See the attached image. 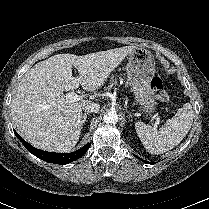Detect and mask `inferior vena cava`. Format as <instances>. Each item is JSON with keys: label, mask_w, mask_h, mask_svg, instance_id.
<instances>
[{"label": "inferior vena cava", "mask_w": 209, "mask_h": 209, "mask_svg": "<svg viewBox=\"0 0 209 209\" xmlns=\"http://www.w3.org/2000/svg\"><path fill=\"white\" fill-rule=\"evenodd\" d=\"M83 111H85V113H97L100 110V105L97 103H93L88 101L87 103H85L82 106Z\"/></svg>", "instance_id": "1"}]
</instances>
